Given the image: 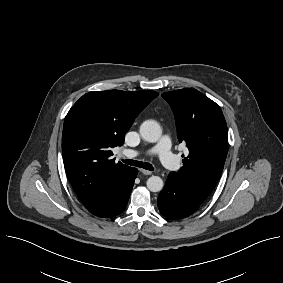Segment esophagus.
Returning a JSON list of instances; mask_svg holds the SVG:
<instances>
[{"label":"esophagus","instance_id":"obj_1","mask_svg":"<svg viewBox=\"0 0 283 283\" xmlns=\"http://www.w3.org/2000/svg\"><path fill=\"white\" fill-rule=\"evenodd\" d=\"M140 171L144 174V175H151L152 172L146 169H140Z\"/></svg>","mask_w":283,"mask_h":283}]
</instances>
